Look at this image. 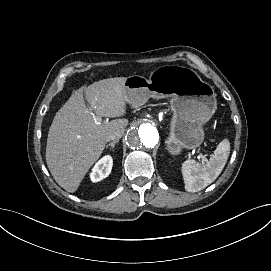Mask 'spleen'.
<instances>
[{"mask_svg": "<svg viewBox=\"0 0 271 271\" xmlns=\"http://www.w3.org/2000/svg\"><path fill=\"white\" fill-rule=\"evenodd\" d=\"M229 152V141L224 139L216 146L207 163L199 165L193 160L183 162L181 165V173L185 190L194 192L198 187H206L212 183L221 173Z\"/></svg>", "mask_w": 271, "mask_h": 271, "instance_id": "1", "label": "spleen"}]
</instances>
